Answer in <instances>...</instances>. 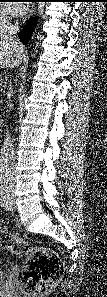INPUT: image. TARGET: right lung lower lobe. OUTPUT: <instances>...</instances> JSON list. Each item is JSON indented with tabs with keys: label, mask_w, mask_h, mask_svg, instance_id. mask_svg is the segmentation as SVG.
Wrapping results in <instances>:
<instances>
[{
	"label": "right lung lower lobe",
	"mask_w": 107,
	"mask_h": 297,
	"mask_svg": "<svg viewBox=\"0 0 107 297\" xmlns=\"http://www.w3.org/2000/svg\"><path fill=\"white\" fill-rule=\"evenodd\" d=\"M35 25V18H33V20H31L27 26L25 27V29L23 30L22 33H20L19 37L21 39V41L26 45L30 39L31 36V32L33 31Z\"/></svg>",
	"instance_id": "98d812e1"
}]
</instances>
